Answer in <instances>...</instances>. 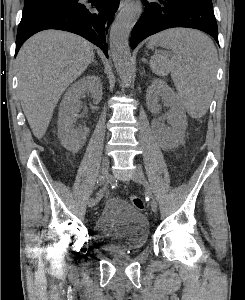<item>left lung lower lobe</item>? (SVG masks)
Segmentation results:
<instances>
[{
	"mask_svg": "<svg viewBox=\"0 0 245 300\" xmlns=\"http://www.w3.org/2000/svg\"><path fill=\"white\" fill-rule=\"evenodd\" d=\"M173 27L204 31L219 43L211 0H157L145 1V12L132 30L131 48L148 36Z\"/></svg>",
	"mask_w": 245,
	"mask_h": 300,
	"instance_id": "left-lung-lower-lobe-1",
	"label": "left lung lower lobe"
}]
</instances>
